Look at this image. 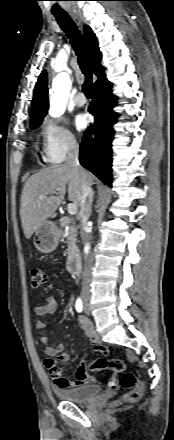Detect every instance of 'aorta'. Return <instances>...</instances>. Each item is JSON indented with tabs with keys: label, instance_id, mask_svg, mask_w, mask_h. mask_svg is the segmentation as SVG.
I'll use <instances>...</instances> for the list:
<instances>
[{
	"label": "aorta",
	"instance_id": "1",
	"mask_svg": "<svg viewBox=\"0 0 174 440\" xmlns=\"http://www.w3.org/2000/svg\"><path fill=\"white\" fill-rule=\"evenodd\" d=\"M70 76L66 72L59 73L53 80L52 93L50 97V110L49 113L53 117L61 116L67 105L69 93L71 90ZM85 252H89V246L85 248Z\"/></svg>",
	"mask_w": 174,
	"mask_h": 440
}]
</instances>
